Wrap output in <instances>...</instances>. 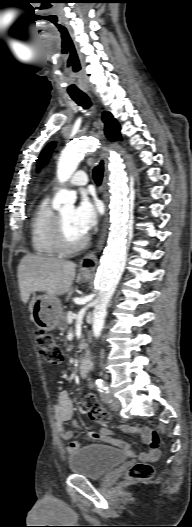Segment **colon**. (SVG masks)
I'll return each mask as SVG.
<instances>
[{"label": "colon", "instance_id": "1", "mask_svg": "<svg viewBox=\"0 0 192 527\" xmlns=\"http://www.w3.org/2000/svg\"><path fill=\"white\" fill-rule=\"evenodd\" d=\"M35 341L41 356L51 365L59 366L63 362V352L51 334L44 330L35 331ZM87 414L95 423L105 424L109 415L100 405L93 394H88L85 400ZM124 429V427L122 428ZM132 429V428H131ZM151 449H156L160 444V437L156 430H149L147 435ZM128 475L133 480H148L154 476V468L150 464L137 463L129 469Z\"/></svg>", "mask_w": 192, "mask_h": 527}]
</instances>
